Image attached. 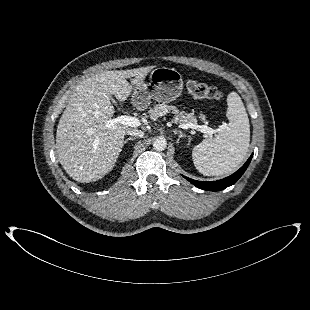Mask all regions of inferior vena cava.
<instances>
[{"mask_svg":"<svg viewBox=\"0 0 310 310\" xmlns=\"http://www.w3.org/2000/svg\"><path fill=\"white\" fill-rule=\"evenodd\" d=\"M126 134L131 135V136H137L142 138L144 136V132L138 129H130L126 131Z\"/></svg>","mask_w":310,"mask_h":310,"instance_id":"obj_1","label":"inferior vena cava"}]
</instances>
